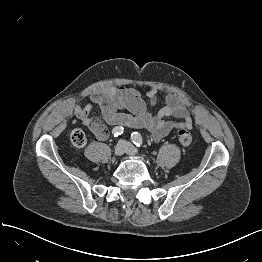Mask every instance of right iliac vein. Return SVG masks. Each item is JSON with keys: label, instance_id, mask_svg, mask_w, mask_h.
<instances>
[{"label": "right iliac vein", "instance_id": "63e3f726", "mask_svg": "<svg viewBox=\"0 0 262 262\" xmlns=\"http://www.w3.org/2000/svg\"><path fill=\"white\" fill-rule=\"evenodd\" d=\"M126 152V144L124 141H119L114 148L115 156H122Z\"/></svg>", "mask_w": 262, "mask_h": 262}]
</instances>
